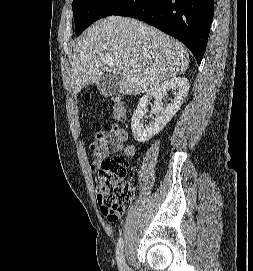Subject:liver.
<instances>
[{"label": "liver", "mask_w": 253, "mask_h": 271, "mask_svg": "<svg viewBox=\"0 0 253 271\" xmlns=\"http://www.w3.org/2000/svg\"><path fill=\"white\" fill-rule=\"evenodd\" d=\"M72 59L75 93L109 73L121 76L119 93L138 95L189 66V55L179 41L146 23L120 16L91 25L74 44Z\"/></svg>", "instance_id": "liver-1"}]
</instances>
